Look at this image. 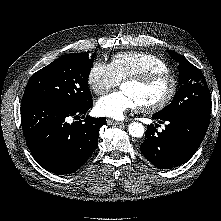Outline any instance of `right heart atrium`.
Instances as JSON below:
<instances>
[{"label": "right heart atrium", "instance_id": "right-heart-atrium-1", "mask_svg": "<svg viewBox=\"0 0 221 221\" xmlns=\"http://www.w3.org/2000/svg\"><path fill=\"white\" fill-rule=\"evenodd\" d=\"M87 82L97 95L105 94L120 83L111 65L103 61L93 63L87 75Z\"/></svg>", "mask_w": 221, "mask_h": 221}]
</instances>
